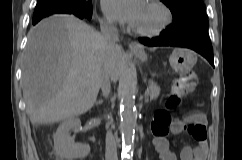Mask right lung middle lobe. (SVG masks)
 <instances>
[{
    "mask_svg": "<svg viewBox=\"0 0 242 160\" xmlns=\"http://www.w3.org/2000/svg\"><path fill=\"white\" fill-rule=\"evenodd\" d=\"M92 12V0H38L33 19L47 16L51 13Z\"/></svg>",
    "mask_w": 242,
    "mask_h": 160,
    "instance_id": "right-lung-middle-lobe-1",
    "label": "right lung middle lobe"
}]
</instances>
